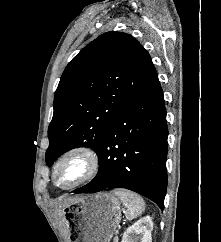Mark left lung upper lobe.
Listing matches in <instances>:
<instances>
[{"instance_id": "5c2ea615", "label": "left lung upper lobe", "mask_w": 221, "mask_h": 242, "mask_svg": "<svg viewBox=\"0 0 221 242\" xmlns=\"http://www.w3.org/2000/svg\"><path fill=\"white\" fill-rule=\"evenodd\" d=\"M156 77L149 53L129 34L107 32L85 46L55 93L47 165L76 147L97 153L110 124Z\"/></svg>"}]
</instances>
